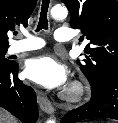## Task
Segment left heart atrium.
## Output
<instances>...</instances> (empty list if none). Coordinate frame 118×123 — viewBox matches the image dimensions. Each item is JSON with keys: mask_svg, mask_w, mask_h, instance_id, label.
Returning <instances> with one entry per match:
<instances>
[{"mask_svg": "<svg viewBox=\"0 0 118 123\" xmlns=\"http://www.w3.org/2000/svg\"><path fill=\"white\" fill-rule=\"evenodd\" d=\"M25 72L29 79L47 88H61L67 81L66 68L50 55L29 60Z\"/></svg>", "mask_w": 118, "mask_h": 123, "instance_id": "39dd6f15", "label": "left heart atrium"}]
</instances>
